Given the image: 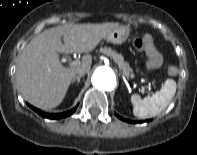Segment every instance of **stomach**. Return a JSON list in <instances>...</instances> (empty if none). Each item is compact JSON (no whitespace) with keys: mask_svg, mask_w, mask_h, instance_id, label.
Listing matches in <instances>:
<instances>
[{"mask_svg":"<svg viewBox=\"0 0 197 155\" xmlns=\"http://www.w3.org/2000/svg\"><path fill=\"white\" fill-rule=\"evenodd\" d=\"M130 35V27L126 25H120L112 29L105 39L114 44H121L125 42Z\"/></svg>","mask_w":197,"mask_h":155,"instance_id":"stomach-1","label":"stomach"}]
</instances>
